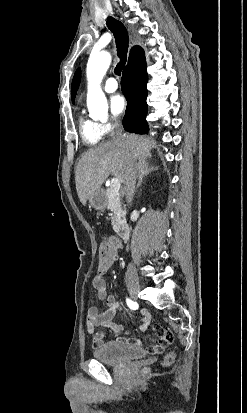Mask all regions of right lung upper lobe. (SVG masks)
I'll return each instance as SVG.
<instances>
[{"mask_svg":"<svg viewBox=\"0 0 247 413\" xmlns=\"http://www.w3.org/2000/svg\"><path fill=\"white\" fill-rule=\"evenodd\" d=\"M146 69L145 54L141 47L131 49L128 64L123 71L124 75H134Z\"/></svg>","mask_w":247,"mask_h":413,"instance_id":"1","label":"right lung upper lobe"}]
</instances>
